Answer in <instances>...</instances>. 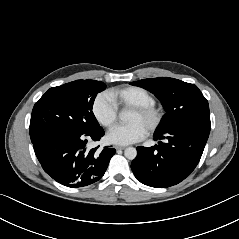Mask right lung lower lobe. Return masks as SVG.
I'll return each mask as SVG.
<instances>
[{
	"label": "right lung lower lobe",
	"mask_w": 239,
	"mask_h": 239,
	"mask_svg": "<svg viewBox=\"0 0 239 239\" xmlns=\"http://www.w3.org/2000/svg\"><path fill=\"white\" fill-rule=\"evenodd\" d=\"M103 135L102 127L85 133L51 131L33 143L34 151L44 171L54 180L68 187H83L101 179L116 152L109 147L86 150L88 140L99 141Z\"/></svg>",
	"instance_id": "98d812e1"
}]
</instances>
